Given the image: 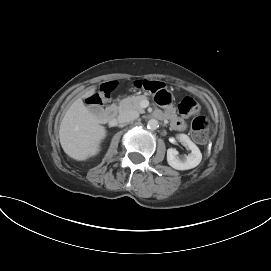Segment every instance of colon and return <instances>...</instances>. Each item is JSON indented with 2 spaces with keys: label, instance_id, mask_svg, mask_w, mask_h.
Instances as JSON below:
<instances>
[{
  "label": "colon",
  "instance_id": "1",
  "mask_svg": "<svg viewBox=\"0 0 271 271\" xmlns=\"http://www.w3.org/2000/svg\"><path fill=\"white\" fill-rule=\"evenodd\" d=\"M137 89H141L155 95V99L159 105L167 106L171 103V94L166 90L165 85L157 80L138 79L134 82ZM115 85L112 82L105 83L88 99V103L93 107H100L103 102L110 96ZM199 105L192 97H184L178 104V110L183 115L196 113ZM209 122L204 116H197L191 124V132L193 139L198 143H204L207 140Z\"/></svg>",
  "mask_w": 271,
  "mask_h": 271
}]
</instances>
